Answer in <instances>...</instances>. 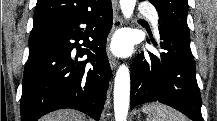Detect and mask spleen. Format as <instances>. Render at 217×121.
<instances>
[{
	"instance_id": "1",
	"label": "spleen",
	"mask_w": 217,
	"mask_h": 121,
	"mask_svg": "<svg viewBox=\"0 0 217 121\" xmlns=\"http://www.w3.org/2000/svg\"><path fill=\"white\" fill-rule=\"evenodd\" d=\"M148 121H186V118L174 109L159 103H152L143 108Z\"/></svg>"
}]
</instances>
